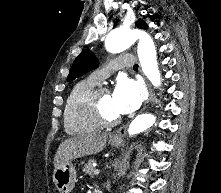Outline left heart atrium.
I'll return each instance as SVG.
<instances>
[{"mask_svg":"<svg viewBox=\"0 0 221 193\" xmlns=\"http://www.w3.org/2000/svg\"><path fill=\"white\" fill-rule=\"evenodd\" d=\"M142 85L130 78H120L112 93L114 108L118 114H129L139 108L144 99Z\"/></svg>","mask_w":221,"mask_h":193,"instance_id":"obj_1","label":"left heart atrium"}]
</instances>
